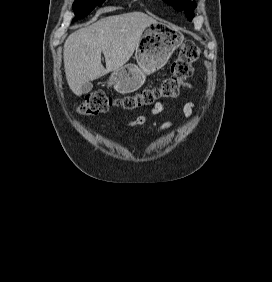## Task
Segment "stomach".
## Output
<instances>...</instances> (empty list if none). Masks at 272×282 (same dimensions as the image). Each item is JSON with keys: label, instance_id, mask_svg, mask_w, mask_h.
Returning <instances> with one entry per match:
<instances>
[{"label": "stomach", "instance_id": "0dacf381", "mask_svg": "<svg viewBox=\"0 0 272 282\" xmlns=\"http://www.w3.org/2000/svg\"><path fill=\"white\" fill-rule=\"evenodd\" d=\"M183 39V35L171 26L152 23L143 31L136 46L137 65L126 64L114 71L109 78V84L121 94L137 91L144 84L147 75L167 63Z\"/></svg>", "mask_w": 272, "mask_h": 282}]
</instances>
